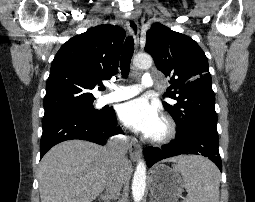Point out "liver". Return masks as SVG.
Instances as JSON below:
<instances>
[{"instance_id": "obj_1", "label": "liver", "mask_w": 255, "mask_h": 202, "mask_svg": "<svg viewBox=\"0 0 255 202\" xmlns=\"http://www.w3.org/2000/svg\"><path fill=\"white\" fill-rule=\"evenodd\" d=\"M186 157H173L179 162ZM115 163L107 147L83 140H69L51 148L39 166L41 202H92L103 191ZM131 164L123 165V179Z\"/></svg>"}]
</instances>
